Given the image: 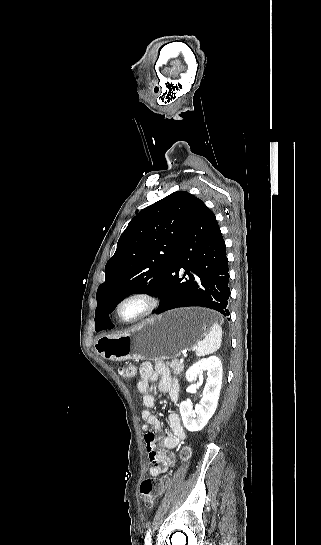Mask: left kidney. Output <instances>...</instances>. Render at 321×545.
<instances>
[{
	"label": "left kidney",
	"instance_id": "left-kidney-1",
	"mask_svg": "<svg viewBox=\"0 0 321 545\" xmlns=\"http://www.w3.org/2000/svg\"><path fill=\"white\" fill-rule=\"evenodd\" d=\"M203 371H208V373L200 405H195V409L192 411V403L183 401L179 407L184 427H186L187 431H191V433L202 431L205 425H207L209 419H211L217 409L221 391L223 369L220 359L218 357H209V359H201L198 363H194L186 371L187 381L189 383L197 381Z\"/></svg>",
	"mask_w": 321,
	"mask_h": 545
}]
</instances>
